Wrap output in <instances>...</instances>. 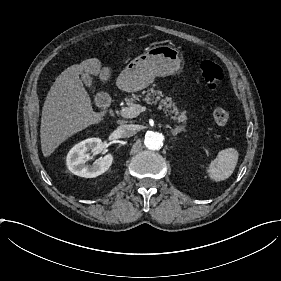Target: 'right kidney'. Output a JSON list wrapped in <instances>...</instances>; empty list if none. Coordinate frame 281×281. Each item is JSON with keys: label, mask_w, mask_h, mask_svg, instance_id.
<instances>
[{"label": "right kidney", "mask_w": 281, "mask_h": 281, "mask_svg": "<svg viewBox=\"0 0 281 281\" xmlns=\"http://www.w3.org/2000/svg\"><path fill=\"white\" fill-rule=\"evenodd\" d=\"M103 149V143L99 138H89L76 144L70 149L66 157V165L73 174L93 178L106 172L112 164L113 156L107 154L103 158L95 160L92 165L86 164L90 159L89 151L99 152Z\"/></svg>", "instance_id": "ca27d5eb"}]
</instances>
